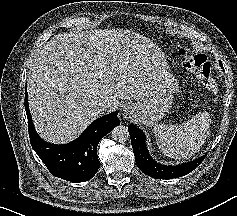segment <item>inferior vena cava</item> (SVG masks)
<instances>
[{
	"label": "inferior vena cava",
	"instance_id": "1",
	"mask_svg": "<svg viewBox=\"0 0 237 216\" xmlns=\"http://www.w3.org/2000/svg\"><path fill=\"white\" fill-rule=\"evenodd\" d=\"M118 102L113 101L111 99L105 98L102 99L99 105L103 110H110V109H116L118 107Z\"/></svg>",
	"mask_w": 237,
	"mask_h": 216
}]
</instances>
